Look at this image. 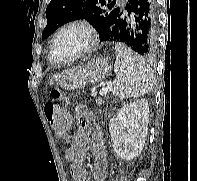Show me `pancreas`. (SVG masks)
Masks as SVG:
<instances>
[{
    "label": "pancreas",
    "mask_w": 197,
    "mask_h": 181,
    "mask_svg": "<svg viewBox=\"0 0 197 181\" xmlns=\"http://www.w3.org/2000/svg\"><path fill=\"white\" fill-rule=\"evenodd\" d=\"M96 104H97L98 106H101V105H102V100H101V99L96 100Z\"/></svg>",
    "instance_id": "cf45deb5"
}]
</instances>
